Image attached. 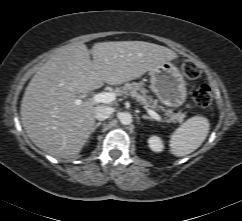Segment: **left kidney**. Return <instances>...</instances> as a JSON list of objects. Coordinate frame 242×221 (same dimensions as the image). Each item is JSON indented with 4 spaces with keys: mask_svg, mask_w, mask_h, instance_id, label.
I'll return each instance as SVG.
<instances>
[{
    "mask_svg": "<svg viewBox=\"0 0 242 221\" xmlns=\"http://www.w3.org/2000/svg\"><path fill=\"white\" fill-rule=\"evenodd\" d=\"M149 147L154 152H161L164 148L162 140L158 136H152L148 140Z\"/></svg>",
    "mask_w": 242,
    "mask_h": 221,
    "instance_id": "left-kidney-1",
    "label": "left kidney"
}]
</instances>
